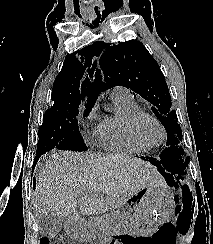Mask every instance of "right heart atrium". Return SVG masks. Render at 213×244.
Segmentation results:
<instances>
[{
	"mask_svg": "<svg viewBox=\"0 0 213 244\" xmlns=\"http://www.w3.org/2000/svg\"><path fill=\"white\" fill-rule=\"evenodd\" d=\"M96 117H97V113H96V109L94 107L89 109L84 117L82 115H80V122L82 123V125L84 127L83 133L87 140H90V138L88 137V133H87V126L92 124L94 122V120L96 119Z\"/></svg>",
	"mask_w": 213,
	"mask_h": 244,
	"instance_id": "right-heart-atrium-1",
	"label": "right heart atrium"
}]
</instances>
